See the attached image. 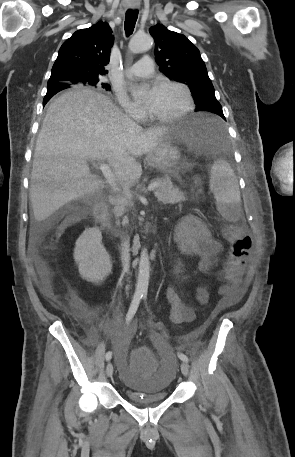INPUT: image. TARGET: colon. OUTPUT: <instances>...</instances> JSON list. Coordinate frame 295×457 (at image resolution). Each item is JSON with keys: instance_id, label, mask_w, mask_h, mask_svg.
Instances as JSON below:
<instances>
[{"instance_id": "5ec220e1", "label": "colon", "mask_w": 295, "mask_h": 457, "mask_svg": "<svg viewBox=\"0 0 295 457\" xmlns=\"http://www.w3.org/2000/svg\"><path fill=\"white\" fill-rule=\"evenodd\" d=\"M224 237L230 245L229 255L224 264L223 278L230 285L238 283L243 266L252 247L251 237L241 226L228 225L224 229ZM152 346H133L131 352V372H155V358L152 357Z\"/></svg>"}]
</instances>
